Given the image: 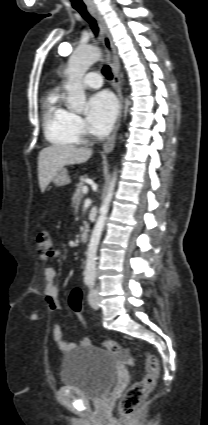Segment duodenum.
I'll use <instances>...</instances> for the list:
<instances>
[{
	"mask_svg": "<svg viewBox=\"0 0 208 425\" xmlns=\"http://www.w3.org/2000/svg\"><path fill=\"white\" fill-rule=\"evenodd\" d=\"M88 236H89L88 229L87 228H83L81 230V234H80V237H81L82 242H86L88 240Z\"/></svg>",
	"mask_w": 208,
	"mask_h": 425,
	"instance_id": "1",
	"label": "duodenum"
}]
</instances>
